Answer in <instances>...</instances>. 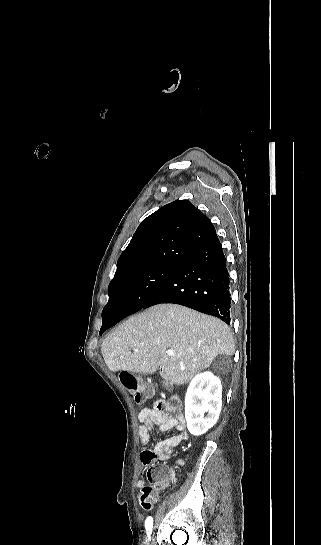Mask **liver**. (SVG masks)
Masks as SVG:
<instances>
[{"mask_svg":"<svg viewBox=\"0 0 321 545\" xmlns=\"http://www.w3.org/2000/svg\"><path fill=\"white\" fill-rule=\"evenodd\" d=\"M101 353L109 371L152 375L160 369L165 381L185 385L218 355H234L235 345L220 319L181 305H155L105 337Z\"/></svg>","mask_w":321,"mask_h":545,"instance_id":"liver-1","label":"liver"}]
</instances>
